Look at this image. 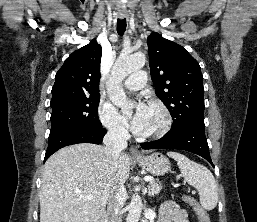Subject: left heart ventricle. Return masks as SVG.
I'll list each match as a JSON object with an SVG mask.
<instances>
[{
	"label": "left heart ventricle",
	"instance_id": "left-heart-ventricle-1",
	"mask_svg": "<svg viewBox=\"0 0 257 222\" xmlns=\"http://www.w3.org/2000/svg\"><path fill=\"white\" fill-rule=\"evenodd\" d=\"M151 115H150V120H149V125H148V131L154 129L160 121V114L159 111L156 108L150 107Z\"/></svg>",
	"mask_w": 257,
	"mask_h": 222
}]
</instances>
